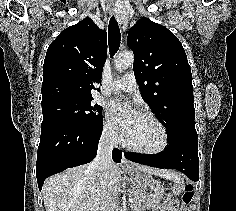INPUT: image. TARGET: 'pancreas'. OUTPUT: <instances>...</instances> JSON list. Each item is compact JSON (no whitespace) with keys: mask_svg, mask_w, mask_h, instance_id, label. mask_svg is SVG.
Returning a JSON list of instances; mask_svg holds the SVG:
<instances>
[{"mask_svg":"<svg viewBox=\"0 0 236 211\" xmlns=\"http://www.w3.org/2000/svg\"><path fill=\"white\" fill-rule=\"evenodd\" d=\"M129 198H132L130 207L132 211H144L138 192H131Z\"/></svg>","mask_w":236,"mask_h":211,"instance_id":"1","label":"pancreas"}]
</instances>
